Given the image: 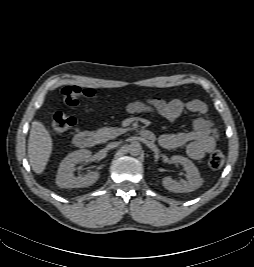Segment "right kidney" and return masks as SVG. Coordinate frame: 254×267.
<instances>
[{
  "instance_id": "1",
  "label": "right kidney",
  "mask_w": 254,
  "mask_h": 267,
  "mask_svg": "<svg viewBox=\"0 0 254 267\" xmlns=\"http://www.w3.org/2000/svg\"><path fill=\"white\" fill-rule=\"evenodd\" d=\"M91 152L86 149L68 154L60 163L56 175V184L61 188H83L93 185L99 178V172L91 171L84 176L75 177V165L81 161H88Z\"/></svg>"
}]
</instances>
